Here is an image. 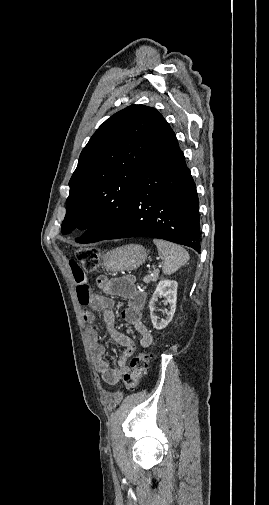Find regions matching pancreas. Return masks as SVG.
<instances>
[{"mask_svg":"<svg viewBox=\"0 0 269 505\" xmlns=\"http://www.w3.org/2000/svg\"><path fill=\"white\" fill-rule=\"evenodd\" d=\"M158 276H159V270H154L153 272H149V274L143 278V281L146 284L150 282H156L158 280Z\"/></svg>","mask_w":269,"mask_h":505,"instance_id":"obj_1","label":"pancreas"}]
</instances>
